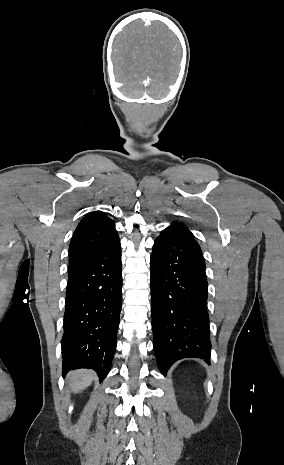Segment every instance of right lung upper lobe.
<instances>
[{"label":"right lung upper lobe","mask_w":284,"mask_h":465,"mask_svg":"<svg viewBox=\"0 0 284 465\" xmlns=\"http://www.w3.org/2000/svg\"><path fill=\"white\" fill-rule=\"evenodd\" d=\"M114 222L102 211L87 214L78 224L69 246V264L83 260L105 248L115 238Z\"/></svg>","instance_id":"cb5924a9"}]
</instances>
